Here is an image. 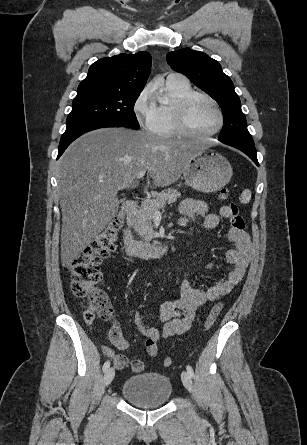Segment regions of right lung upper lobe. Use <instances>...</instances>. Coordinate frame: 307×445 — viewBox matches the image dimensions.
Here are the masks:
<instances>
[{
	"instance_id": "1",
	"label": "right lung upper lobe",
	"mask_w": 307,
	"mask_h": 445,
	"mask_svg": "<svg viewBox=\"0 0 307 445\" xmlns=\"http://www.w3.org/2000/svg\"><path fill=\"white\" fill-rule=\"evenodd\" d=\"M151 70V56L142 51L119 54L93 63L79 84L77 96L91 94L140 95Z\"/></svg>"
}]
</instances>
